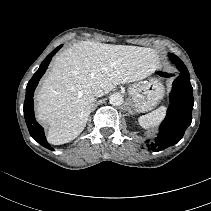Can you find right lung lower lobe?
<instances>
[{"label": "right lung lower lobe", "mask_w": 211, "mask_h": 211, "mask_svg": "<svg viewBox=\"0 0 211 211\" xmlns=\"http://www.w3.org/2000/svg\"><path fill=\"white\" fill-rule=\"evenodd\" d=\"M60 48L61 46L57 47L53 52H51L41 63L39 69L34 73L33 77L27 84L26 97L24 101V116L30 135L36 142H38L45 148H48L49 150H54V149L48 144L43 128L35 120L33 94L40 78L45 73L52 57Z\"/></svg>", "instance_id": "98d812e1"}]
</instances>
